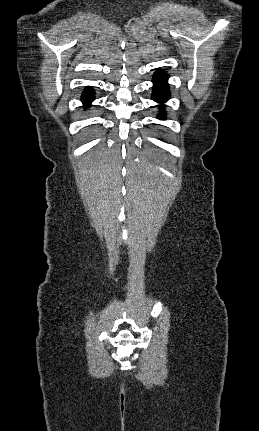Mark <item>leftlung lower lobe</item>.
Segmentation results:
<instances>
[{
    "label": "left lung lower lobe",
    "instance_id": "obj_1",
    "mask_svg": "<svg viewBox=\"0 0 259 431\" xmlns=\"http://www.w3.org/2000/svg\"><path fill=\"white\" fill-rule=\"evenodd\" d=\"M168 74L162 70L155 72L152 82H153V100L163 103L167 101L170 97L169 86L167 83ZM163 119V117H162Z\"/></svg>",
    "mask_w": 259,
    "mask_h": 431
}]
</instances>
